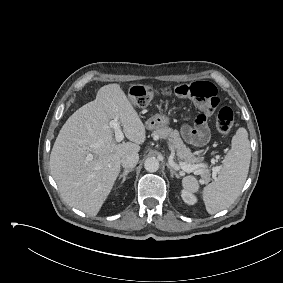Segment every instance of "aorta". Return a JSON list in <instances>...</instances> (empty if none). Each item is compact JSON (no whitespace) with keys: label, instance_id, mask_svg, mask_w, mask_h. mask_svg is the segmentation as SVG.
<instances>
[{"label":"aorta","instance_id":"762f6f07","mask_svg":"<svg viewBox=\"0 0 283 283\" xmlns=\"http://www.w3.org/2000/svg\"><path fill=\"white\" fill-rule=\"evenodd\" d=\"M144 168L148 172H156L159 169V161L155 157H150L145 160Z\"/></svg>","mask_w":283,"mask_h":283}]
</instances>
